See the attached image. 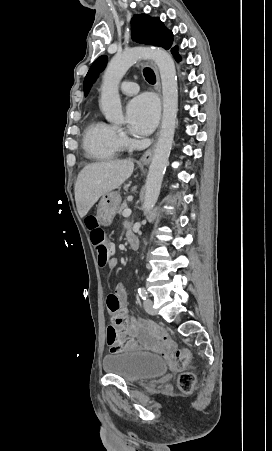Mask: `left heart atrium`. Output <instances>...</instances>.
Here are the masks:
<instances>
[{
  "label": "left heart atrium",
  "instance_id": "1",
  "mask_svg": "<svg viewBox=\"0 0 272 451\" xmlns=\"http://www.w3.org/2000/svg\"><path fill=\"white\" fill-rule=\"evenodd\" d=\"M158 118V104L151 95L133 99L127 107V122L130 130L138 135L149 134Z\"/></svg>",
  "mask_w": 272,
  "mask_h": 451
}]
</instances>
